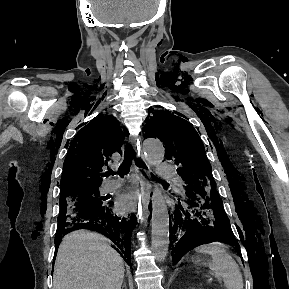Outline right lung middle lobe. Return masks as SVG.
I'll list each match as a JSON object with an SVG mask.
<instances>
[{"instance_id":"dd1d6c3e","label":"right lung middle lobe","mask_w":289,"mask_h":289,"mask_svg":"<svg viewBox=\"0 0 289 289\" xmlns=\"http://www.w3.org/2000/svg\"><path fill=\"white\" fill-rule=\"evenodd\" d=\"M99 189L86 190L60 197L58 225L70 220L79 213H88L103 205Z\"/></svg>"}]
</instances>
